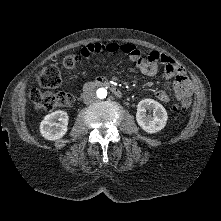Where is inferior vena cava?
<instances>
[{
    "label": "inferior vena cava",
    "instance_id": "1",
    "mask_svg": "<svg viewBox=\"0 0 221 221\" xmlns=\"http://www.w3.org/2000/svg\"><path fill=\"white\" fill-rule=\"evenodd\" d=\"M96 100V95L94 92H86L83 94V101L85 104H90Z\"/></svg>",
    "mask_w": 221,
    "mask_h": 221
}]
</instances>
